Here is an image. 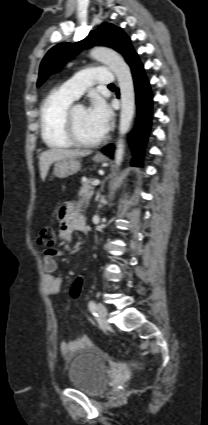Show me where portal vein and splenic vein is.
I'll return each instance as SVG.
<instances>
[{
	"label": "portal vein and splenic vein",
	"instance_id": "obj_1",
	"mask_svg": "<svg viewBox=\"0 0 208 425\" xmlns=\"http://www.w3.org/2000/svg\"><path fill=\"white\" fill-rule=\"evenodd\" d=\"M99 183H100V181L98 179H96L92 182V185L97 186V185H99Z\"/></svg>",
	"mask_w": 208,
	"mask_h": 425
}]
</instances>
